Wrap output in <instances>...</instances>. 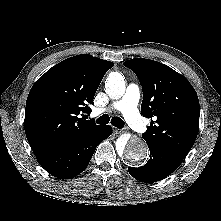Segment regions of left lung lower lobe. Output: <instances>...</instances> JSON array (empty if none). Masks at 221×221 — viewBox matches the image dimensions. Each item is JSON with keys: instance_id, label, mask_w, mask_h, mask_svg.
Returning <instances> with one entry per match:
<instances>
[{"instance_id": "obj_1", "label": "left lung lower lobe", "mask_w": 221, "mask_h": 221, "mask_svg": "<svg viewBox=\"0 0 221 221\" xmlns=\"http://www.w3.org/2000/svg\"><path fill=\"white\" fill-rule=\"evenodd\" d=\"M150 159L142 167H129V173L137 180L145 183L157 182L164 179L182 163V157L175 155L163 148L148 145Z\"/></svg>"}]
</instances>
